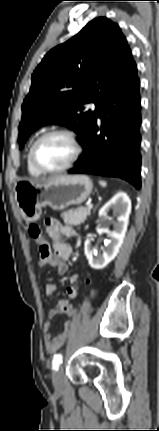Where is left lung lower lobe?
Segmentation results:
<instances>
[{
	"instance_id": "left-lung-lower-lobe-1",
	"label": "left lung lower lobe",
	"mask_w": 159,
	"mask_h": 431,
	"mask_svg": "<svg viewBox=\"0 0 159 431\" xmlns=\"http://www.w3.org/2000/svg\"><path fill=\"white\" fill-rule=\"evenodd\" d=\"M133 62L98 107L81 144L83 154L70 174L118 177L141 188V100ZM100 118L102 124H97Z\"/></svg>"
}]
</instances>
